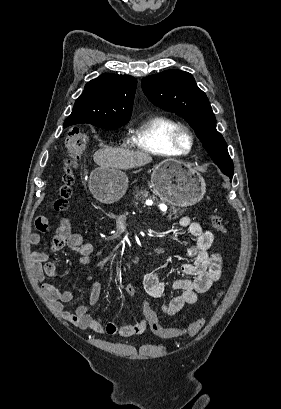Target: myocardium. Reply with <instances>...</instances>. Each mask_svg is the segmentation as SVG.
Instances as JSON below:
<instances>
[{
  "label": "myocardium",
  "instance_id": "1",
  "mask_svg": "<svg viewBox=\"0 0 281 409\" xmlns=\"http://www.w3.org/2000/svg\"><path fill=\"white\" fill-rule=\"evenodd\" d=\"M194 144V139L192 134L187 129H182L176 136V145L184 153H189Z\"/></svg>",
  "mask_w": 281,
  "mask_h": 409
}]
</instances>
